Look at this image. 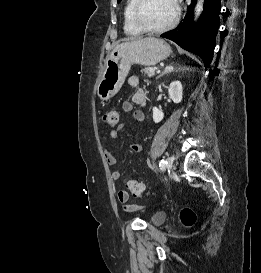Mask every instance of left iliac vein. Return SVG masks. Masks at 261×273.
<instances>
[{"mask_svg":"<svg viewBox=\"0 0 261 273\" xmlns=\"http://www.w3.org/2000/svg\"><path fill=\"white\" fill-rule=\"evenodd\" d=\"M166 167L168 168V169H171V167H172V165H173V158L172 157H167L166 158Z\"/></svg>","mask_w":261,"mask_h":273,"instance_id":"1","label":"left iliac vein"}]
</instances>
